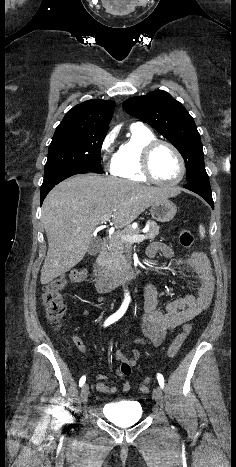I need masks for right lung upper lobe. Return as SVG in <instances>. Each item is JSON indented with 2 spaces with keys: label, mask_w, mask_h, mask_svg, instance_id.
Wrapping results in <instances>:
<instances>
[{
  "label": "right lung upper lobe",
  "mask_w": 236,
  "mask_h": 467,
  "mask_svg": "<svg viewBox=\"0 0 236 467\" xmlns=\"http://www.w3.org/2000/svg\"><path fill=\"white\" fill-rule=\"evenodd\" d=\"M113 112L111 101L88 100L70 109L57 129L107 133Z\"/></svg>",
  "instance_id": "1"
}]
</instances>
